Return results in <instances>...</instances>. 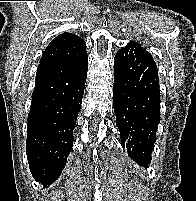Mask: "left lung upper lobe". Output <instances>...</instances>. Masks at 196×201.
<instances>
[{
	"label": "left lung upper lobe",
	"instance_id": "obj_1",
	"mask_svg": "<svg viewBox=\"0 0 196 201\" xmlns=\"http://www.w3.org/2000/svg\"><path fill=\"white\" fill-rule=\"evenodd\" d=\"M132 43H134V42H132ZM134 44H136V43H134ZM136 45H138V46H140V47H142L141 45H139V44H136ZM142 48H144V47H142ZM145 49V48H144ZM146 50V49H145Z\"/></svg>",
	"mask_w": 196,
	"mask_h": 201
}]
</instances>
